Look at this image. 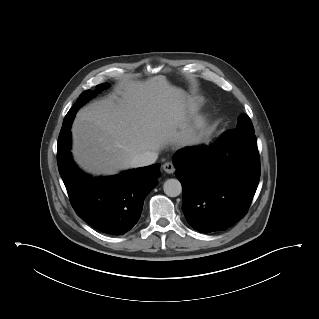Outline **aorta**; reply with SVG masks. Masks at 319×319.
Listing matches in <instances>:
<instances>
[{
	"mask_svg": "<svg viewBox=\"0 0 319 319\" xmlns=\"http://www.w3.org/2000/svg\"><path fill=\"white\" fill-rule=\"evenodd\" d=\"M164 193L169 197H177L182 192V186L177 179H168L163 185Z\"/></svg>",
	"mask_w": 319,
	"mask_h": 319,
	"instance_id": "obj_1",
	"label": "aorta"
}]
</instances>
